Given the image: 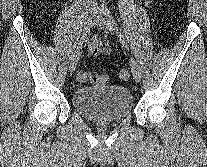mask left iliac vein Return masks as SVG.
Segmentation results:
<instances>
[{"mask_svg":"<svg viewBox=\"0 0 207 167\" xmlns=\"http://www.w3.org/2000/svg\"><path fill=\"white\" fill-rule=\"evenodd\" d=\"M94 21H95V24L101 29H104L106 32L111 33V34L114 33V29H113L111 22L108 19H106L104 16L97 15L94 17ZM130 63H131V71H132L133 77L136 82H139L141 79L140 68L134 59H131Z\"/></svg>","mask_w":207,"mask_h":167,"instance_id":"1","label":"left iliac vein"}]
</instances>
